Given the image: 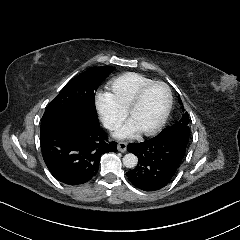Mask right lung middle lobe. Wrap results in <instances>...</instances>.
I'll return each instance as SVG.
<instances>
[{"label": "right lung middle lobe", "instance_id": "dd1d6c3e", "mask_svg": "<svg viewBox=\"0 0 240 240\" xmlns=\"http://www.w3.org/2000/svg\"><path fill=\"white\" fill-rule=\"evenodd\" d=\"M112 71L111 66L91 67L71 79L46 108L41 128L79 116L97 118L95 91Z\"/></svg>", "mask_w": 240, "mask_h": 240}]
</instances>
